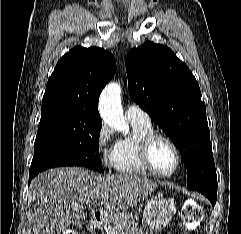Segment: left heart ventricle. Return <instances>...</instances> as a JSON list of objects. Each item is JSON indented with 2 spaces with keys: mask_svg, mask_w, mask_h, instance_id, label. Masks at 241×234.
Segmentation results:
<instances>
[{
  "mask_svg": "<svg viewBox=\"0 0 241 234\" xmlns=\"http://www.w3.org/2000/svg\"><path fill=\"white\" fill-rule=\"evenodd\" d=\"M152 161L154 166L161 172L167 173L174 169L176 154L166 141H157L152 149Z\"/></svg>",
  "mask_w": 241,
  "mask_h": 234,
  "instance_id": "1",
  "label": "left heart ventricle"
}]
</instances>
